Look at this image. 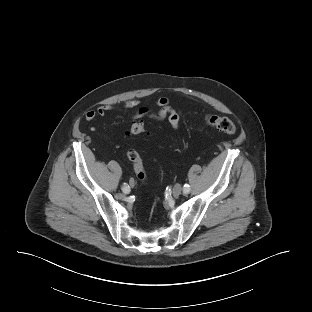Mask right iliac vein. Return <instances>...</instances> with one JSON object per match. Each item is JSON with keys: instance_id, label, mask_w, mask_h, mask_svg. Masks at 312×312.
<instances>
[{"instance_id": "obj_1", "label": "right iliac vein", "mask_w": 312, "mask_h": 312, "mask_svg": "<svg viewBox=\"0 0 312 312\" xmlns=\"http://www.w3.org/2000/svg\"><path fill=\"white\" fill-rule=\"evenodd\" d=\"M129 183H130L131 186L134 185V181L133 180H130Z\"/></svg>"}]
</instances>
